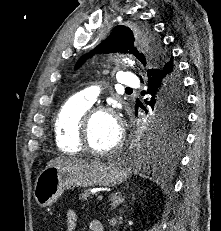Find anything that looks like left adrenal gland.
<instances>
[{
    "mask_svg": "<svg viewBox=\"0 0 221 231\" xmlns=\"http://www.w3.org/2000/svg\"><path fill=\"white\" fill-rule=\"evenodd\" d=\"M125 200V196L122 197L121 192H117L111 195L110 201H111V208L110 210L115 209L117 206H119L121 203H123Z\"/></svg>",
    "mask_w": 221,
    "mask_h": 231,
    "instance_id": "a2214340",
    "label": "left adrenal gland"
}]
</instances>
